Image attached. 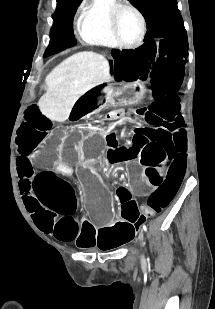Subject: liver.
Instances as JSON below:
<instances>
[{"label":"liver","instance_id":"liver-1","mask_svg":"<svg viewBox=\"0 0 215 309\" xmlns=\"http://www.w3.org/2000/svg\"><path fill=\"white\" fill-rule=\"evenodd\" d=\"M109 78V62L103 54L92 50L76 52L47 74V90L38 104L48 118L63 122L82 94Z\"/></svg>","mask_w":215,"mask_h":309}]
</instances>
